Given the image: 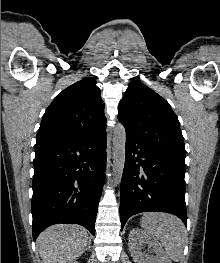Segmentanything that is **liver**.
Masks as SVG:
<instances>
[{"label": "liver", "instance_id": "1", "mask_svg": "<svg viewBox=\"0 0 220 263\" xmlns=\"http://www.w3.org/2000/svg\"><path fill=\"white\" fill-rule=\"evenodd\" d=\"M88 239L87 230L82 226H50L37 239L42 263H67L79 258L87 247Z\"/></svg>", "mask_w": 220, "mask_h": 263}]
</instances>
